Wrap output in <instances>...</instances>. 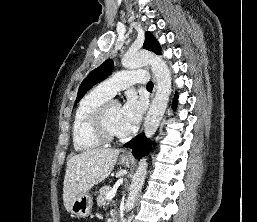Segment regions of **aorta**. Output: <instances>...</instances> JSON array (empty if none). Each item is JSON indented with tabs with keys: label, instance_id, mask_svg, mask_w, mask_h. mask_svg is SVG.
Returning <instances> with one entry per match:
<instances>
[{
	"label": "aorta",
	"instance_id": "762f6f07",
	"mask_svg": "<svg viewBox=\"0 0 257 222\" xmlns=\"http://www.w3.org/2000/svg\"><path fill=\"white\" fill-rule=\"evenodd\" d=\"M122 65L128 69L150 65L156 78L157 90L144 122V133L146 137L151 138L157 131L168 105L169 96L172 91L171 72L161 57L145 50L128 51L122 59ZM146 173L147 161L146 158H142L133 176L130 191L126 199V212L134 207L137 195L143 186Z\"/></svg>",
	"mask_w": 257,
	"mask_h": 222
}]
</instances>
